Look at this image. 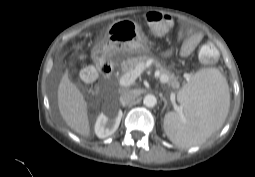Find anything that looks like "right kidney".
<instances>
[{
  "label": "right kidney",
  "mask_w": 255,
  "mask_h": 177,
  "mask_svg": "<svg viewBox=\"0 0 255 177\" xmlns=\"http://www.w3.org/2000/svg\"><path fill=\"white\" fill-rule=\"evenodd\" d=\"M122 118V111L118 110L109 115L101 113L95 123L96 135L103 139L111 136L118 129Z\"/></svg>",
  "instance_id": "obj_1"
}]
</instances>
